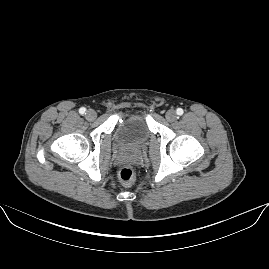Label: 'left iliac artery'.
<instances>
[{
	"mask_svg": "<svg viewBox=\"0 0 269 269\" xmlns=\"http://www.w3.org/2000/svg\"><path fill=\"white\" fill-rule=\"evenodd\" d=\"M176 113L181 116L183 114V109L182 108H178L177 111H176Z\"/></svg>",
	"mask_w": 269,
	"mask_h": 269,
	"instance_id": "1",
	"label": "left iliac artery"
}]
</instances>
